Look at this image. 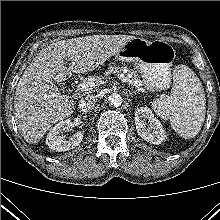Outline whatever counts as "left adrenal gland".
<instances>
[{"instance_id": "left-adrenal-gland-1", "label": "left adrenal gland", "mask_w": 220, "mask_h": 220, "mask_svg": "<svg viewBox=\"0 0 220 220\" xmlns=\"http://www.w3.org/2000/svg\"><path fill=\"white\" fill-rule=\"evenodd\" d=\"M128 92H129V94H130V95H133V94H135V95H136V94H137V92H136V91H130V90H128Z\"/></svg>"}]
</instances>
